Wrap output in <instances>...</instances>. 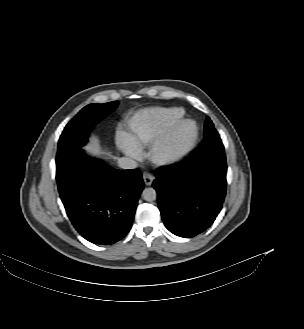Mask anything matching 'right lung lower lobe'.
I'll use <instances>...</instances> for the list:
<instances>
[{
    "label": "right lung lower lobe",
    "mask_w": 304,
    "mask_h": 329,
    "mask_svg": "<svg viewBox=\"0 0 304 329\" xmlns=\"http://www.w3.org/2000/svg\"><path fill=\"white\" fill-rule=\"evenodd\" d=\"M56 180L66 213L85 239L109 245L129 232L144 188L138 169L116 170L79 149L56 160Z\"/></svg>",
    "instance_id": "right-lung-lower-lobe-1"
}]
</instances>
